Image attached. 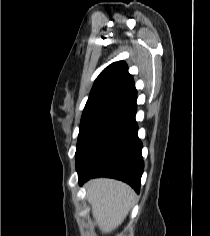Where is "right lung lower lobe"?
I'll use <instances>...</instances> for the list:
<instances>
[{"label":"right lung lower lobe","instance_id":"98d812e1","mask_svg":"<svg viewBox=\"0 0 210 236\" xmlns=\"http://www.w3.org/2000/svg\"><path fill=\"white\" fill-rule=\"evenodd\" d=\"M136 99L135 91L96 126L76 152L80 185L105 176L122 180L139 193L144 163L135 121Z\"/></svg>","mask_w":210,"mask_h":236}]
</instances>
